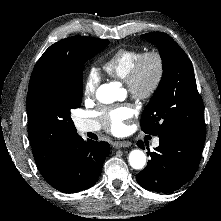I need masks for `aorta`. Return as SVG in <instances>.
Here are the masks:
<instances>
[{
  "label": "aorta",
  "mask_w": 221,
  "mask_h": 221,
  "mask_svg": "<svg viewBox=\"0 0 221 221\" xmlns=\"http://www.w3.org/2000/svg\"><path fill=\"white\" fill-rule=\"evenodd\" d=\"M121 89L115 82L101 85L96 93L97 99L101 103L110 104L118 100ZM128 161L133 169L139 170L146 164V155L142 150L134 149L129 153Z\"/></svg>",
  "instance_id": "762f6f07"
}]
</instances>
